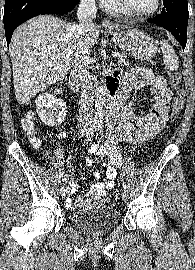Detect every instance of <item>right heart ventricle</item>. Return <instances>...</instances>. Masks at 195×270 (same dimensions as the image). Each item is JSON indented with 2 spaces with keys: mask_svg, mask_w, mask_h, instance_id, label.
Returning <instances> with one entry per match:
<instances>
[{
  "mask_svg": "<svg viewBox=\"0 0 195 270\" xmlns=\"http://www.w3.org/2000/svg\"><path fill=\"white\" fill-rule=\"evenodd\" d=\"M104 8L113 13V14H117V15H126L129 16L130 14L128 12H126L123 7L121 6V4L119 3V0H106L103 4Z\"/></svg>",
  "mask_w": 195,
  "mask_h": 270,
  "instance_id": "obj_1",
  "label": "right heart ventricle"
}]
</instances>
